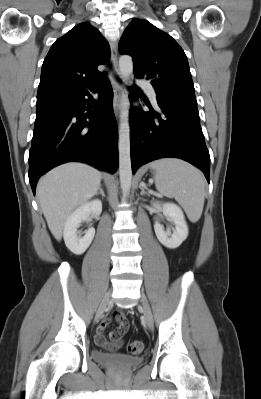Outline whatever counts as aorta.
Listing matches in <instances>:
<instances>
[{
  "label": "aorta",
  "instance_id": "762f6f07",
  "mask_svg": "<svg viewBox=\"0 0 261 399\" xmlns=\"http://www.w3.org/2000/svg\"><path fill=\"white\" fill-rule=\"evenodd\" d=\"M119 70L123 82L129 79L133 72V61L129 55H122L119 58ZM126 94L123 95V104L120 114L119 126V176L120 184L125 196L130 193L132 183V168L130 158V125H129V109L127 90L124 88Z\"/></svg>",
  "mask_w": 261,
  "mask_h": 399
}]
</instances>
